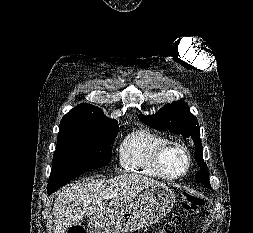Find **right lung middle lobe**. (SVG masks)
I'll return each instance as SVG.
<instances>
[{
    "mask_svg": "<svg viewBox=\"0 0 253 233\" xmlns=\"http://www.w3.org/2000/svg\"><path fill=\"white\" fill-rule=\"evenodd\" d=\"M118 131L116 120L64 116L59 127L49 179L72 171L89 170L109 164L111 145Z\"/></svg>",
    "mask_w": 253,
    "mask_h": 233,
    "instance_id": "right-lung-middle-lobe-1",
    "label": "right lung middle lobe"
}]
</instances>
